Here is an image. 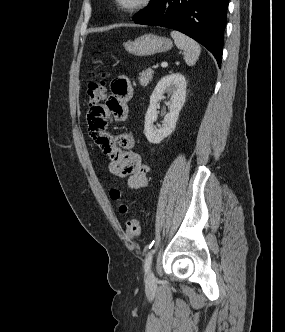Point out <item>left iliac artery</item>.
<instances>
[{
    "mask_svg": "<svg viewBox=\"0 0 285 332\" xmlns=\"http://www.w3.org/2000/svg\"><path fill=\"white\" fill-rule=\"evenodd\" d=\"M153 254H154V250H151L148 252V254L146 256L145 263H144V270L146 273H148L150 270Z\"/></svg>",
    "mask_w": 285,
    "mask_h": 332,
    "instance_id": "1",
    "label": "left iliac artery"
}]
</instances>
